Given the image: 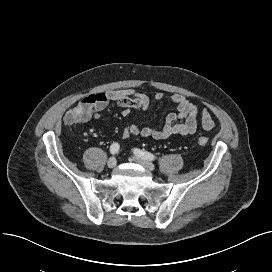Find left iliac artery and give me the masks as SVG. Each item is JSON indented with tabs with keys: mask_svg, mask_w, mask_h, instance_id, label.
<instances>
[{
	"mask_svg": "<svg viewBox=\"0 0 272 272\" xmlns=\"http://www.w3.org/2000/svg\"><path fill=\"white\" fill-rule=\"evenodd\" d=\"M134 153L143 158V159H146V160H150V161H153L156 159V157L150 153V152H147V151H144V150H140V149H134Z\"/></svg>",
	"mask_w": 272,
	"mask_h": 272,
	"instance_id": "obj_1",
	"label": "left iliac artery"
}]
</instances>
